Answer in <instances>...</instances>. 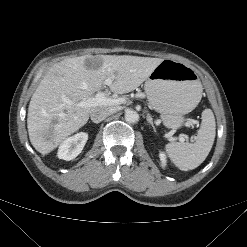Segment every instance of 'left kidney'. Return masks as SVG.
I'll return each instance as SVG.
<instances>
[{
  "label": "left kidney",
  "mask_w": 247,
  "mask_h": 247,
  "mask_svg": "<svg viewBox=\"0 0 247 247\" xmlns=\"http://www.w3.org/2000/svg\"><path fill=\"white\" fill-rule=\"evenodd\" d=\"M159 157H160L162 167H165L167 165L166 155L163 152H160Z\"/></svg>",
  "instance_id": "left-kidney-1"
}]
</instances>
